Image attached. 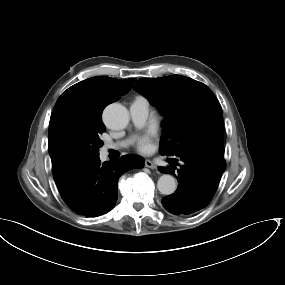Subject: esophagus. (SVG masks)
I'll use <instances>...</instances> for the list:
<instances>
[{"label":"esophagus","instance_id":"34e87169","mask_svg":"<svg viewBox=\"0 0 285 285\" xmlns=\"http://www.w3.org/2000/svg\"><path fill=\"white\" fill-rule=\"evenodd\" d=\"M145 166L150 168V169H156L157 168V165L149 159L145 160Z\"/></svg>","mask_w":285,"mask_h":285}]
</instances>
